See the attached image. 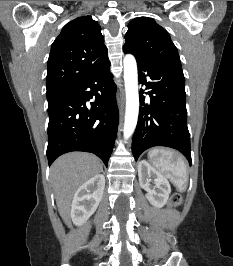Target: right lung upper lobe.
<instances>
[{
  "mask_svg": "<svg viewBox=\"0 0 233 266\" xmlns=\"http://www.w3.org/2000/svg\"><path fill=\"white\" fill-rule=\"evenodd\" d=\"M109 62L101 27L91 16L66 24L51 46L47 93L65 91Z\"/></svg>",
  "mask_w": 233,
  "mask_h": 266,
  "instance_id": "right-lung-upper-lobe-1",
  "label": "right lung upper lobe"
}]
</instances>
